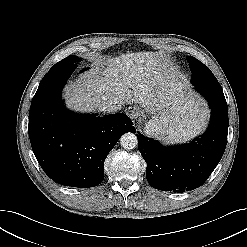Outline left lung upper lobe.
<instances>
[{
    "label": "left lung upper lobe",
    "instance_id": "obj_1",
    "mask_svg": "<svg viewBox=\"0 0 247 247\" xmlns=\"http://www.w3.org/2000/svg\"><path fill=\"white\" fill-rule=\"evenodd\" d=\"M187 61L189 62L190 70L192 73L196 71L197 68H200L201 65H204L202 62L192 56H187Z\"/></svg>",
    "mask_w": 247,
    "mask_h": 247
}]
</instances>
